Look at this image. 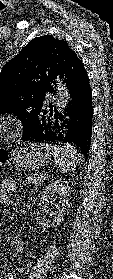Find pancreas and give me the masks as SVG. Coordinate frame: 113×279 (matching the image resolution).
<instances>
[{
    "mask_svg": "<svg viewBox=\"0 0 113 279\" xmlns=\"http://www.w3.org/2000/svg\"><path fill=\"white\" fill-rule=\"evenodd\" d=\"M28 181L32 184H38L40 182H43L46 179V176L43 174H33L31 176H29Z\"/></svg>",
    "mask_w": 113,
    "mask_h": 279,
    "instance_id": "obj_1",
    "label": "pancreas"
}]
</instances>
